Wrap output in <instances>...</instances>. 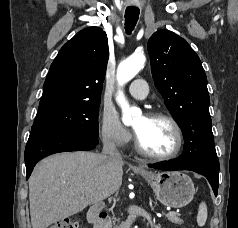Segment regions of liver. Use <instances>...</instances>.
<instances>
[{
    "instance_id": "liver-1",
    "label": "liver",
    "mask_w": 238,
    "mask_h": 228,
    "mask_svg": "<svg viewBox=\"0 0 238 228\" xmlns=\"http://www.w3.org/2000/svg\"><path fill=\"white\" fill-rule=\"evenodd\" d=\"M123 165L122 159L84 151L43 159L29 178L32 228H47L115 193Z\"/></svg>"
}]
</instances>
